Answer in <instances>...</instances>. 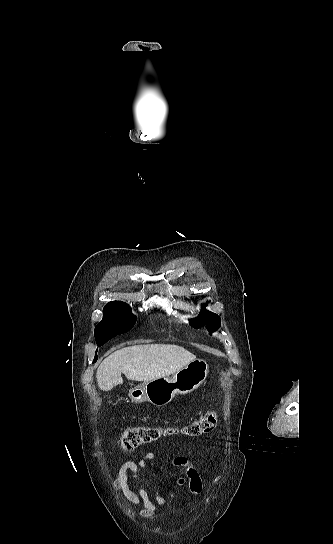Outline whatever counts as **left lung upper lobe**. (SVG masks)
Segmentation results:
<instances>
[{"label":"left lung upper lobe","instance_id":"left-lung-upper-lobe-1","mask_svg":"<svg viewBox=\"0 0 333 544\" xmlns=\"http://www.w3.org/2000/svg\"><path fill=\"white\" fill-rule=\"evenodd\" d=\"M220 323L221 320L218 315L208 311H202L199 316L192 321L191 326L195 328L207 326L208 330L213 332L219 328Z\"/></svg>","mask_w":333,"mask_h":544}]
</instances>
